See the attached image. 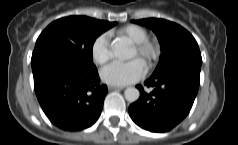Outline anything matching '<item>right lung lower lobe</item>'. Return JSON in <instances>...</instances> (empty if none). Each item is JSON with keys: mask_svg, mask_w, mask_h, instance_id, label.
<instances>
[{"mask_svg": "<svg viewBox=\"0 0 238 145\" xmlns=\"http://www.w3.org/2000/svg\"><path fill=\"white\" fill-rule=\"evenodd\" d=\"M34 89L48 119L64 131H79L99 118L107 86L100 84L96 67L65 57L32 61Z\"/></svg>", "mask_w": 238, "mask_h": 145, "instance_id": "obj_1", "label": "right lung lower lobe"}]
</instances>
